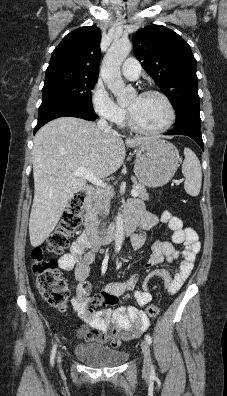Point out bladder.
<instances>
[{
	"label": "bladder",
	"instance_id": "31cf9c89",
	"mask_svg": "<svg viewBox=\"0 0 227 396\" xmlns=\"http://www.w3.org/2000/svg\"><path fill=\"white\" fill-rule=\"evenodd\" d=\"M75 356L82 362L93 367H116L125 363L129 354L93 342L79 343L74 348Z\"/></svg>",
	"mask_w": 227,
	"mask_h": 396
}]
</instances>
